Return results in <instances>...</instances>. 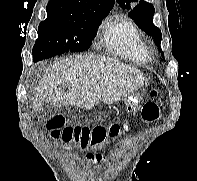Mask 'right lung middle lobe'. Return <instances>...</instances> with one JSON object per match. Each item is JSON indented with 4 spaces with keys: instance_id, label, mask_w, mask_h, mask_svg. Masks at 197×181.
Listing matches in <instances>:
<instances>
[{
    "instance_id": "obj_1",
    "label": "right lung middle lobe",
    "mask_w": 197,
    "mask_h": 181,
    "mask_svg": "<svg viewBox=\"0 0 197 181\" xmlns=\"http://www.w3.org/2000/svg\"><path fill=\"white\" fill-rule=\"evenodd\" d=\"M105 16L107 14L81 17L47 14V19L38 27V39L32 50L34 60H43L65 52L87 50Z\"/></svg>"
}]
</instances>
